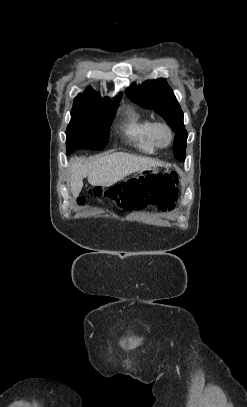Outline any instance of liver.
<instances>
[{"instance_id":"6515ba94","label":"liver","mask_w":247,"mask_h":407,"mask_svg":"<svg viewBox=\"0 0 247 407\" xmlns=\"http://www.w3.org/2000/svg\"><path fill=\"white\" fill-rule=\"evenodd\" d=\"M160 165L162 163L154 159L122 152L92 158L86 162L76 157L71 160V192L74 197L79 195L84 177L88 178L92 186L109 187L134 172Z\"/></svg>"}]
</instances>
